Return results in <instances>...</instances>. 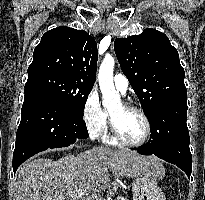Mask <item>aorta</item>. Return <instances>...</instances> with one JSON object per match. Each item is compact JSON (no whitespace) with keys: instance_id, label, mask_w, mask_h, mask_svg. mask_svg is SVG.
<instances>
[{"instance_id":"762f6f07","label":"aorta","mask_w":205,"mask_h":200,"mask_svg":"<svg viewBox=\"0 0 205 200\" xmlns=\"http://www.w3.org/2000/svg\"><path fill=\"white\" fill-rule=\"evenodd\" d=\"M115 60L111 55H106L99 69V85L102 92V104L109 109L120 105V95L115 90L113 83V70Z\"/></svg>"}]
</instances>
